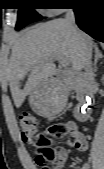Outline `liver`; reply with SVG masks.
Masks as SVG:
<instances>
[{
  "label": "liver",
  "instance_id": "6515ba94",
  "mask_svg": "<svg viewBox=\"0 0 104 169\" xmlns=\"http://www.w3.org/2000/svg\"><path fill=\"white\" fill-rule=\"evenodd\" d=\"M95 45L89 35L78 29L74 35L62 18L19 34L12 46L6 72L15 106L19 108L27 96L55 73L53 57L63 56L80 73L85 64L86 49L92 53ZM27 76L26 84L21 88Z\"/></svg>",
  "mask_w": 104,
  "mask_h": 169
}]
</instances>
